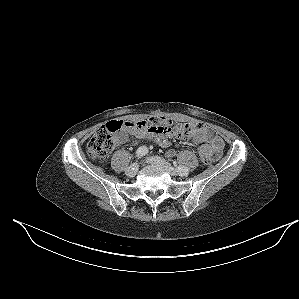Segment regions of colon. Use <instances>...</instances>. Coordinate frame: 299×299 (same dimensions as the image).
<instances>
[{
  "mask_svg": "<svg viewBox=\"0 0 299 299\" xmlns=\"http://www.w3.org/2000/svg\"><path fill=\"white\" fill-rule=\"evenodd\" d=\"M199 127L196 123H176L165 117H153L148 121L128 122L122 120H112L102 127L92 136L87 145V153L92 159L105 158L113 149L123 131L130 128L148 129L164 134L175 135L178 138L187 139ZM201 161L210 164L211 160L207 154L205 144L197 145Z\"/></svg>",
  "mask_w": 299,
  "mask_h": 299,
  "instance_id": "5ec220e1",
  "label": "colon"
}]
</instances>
